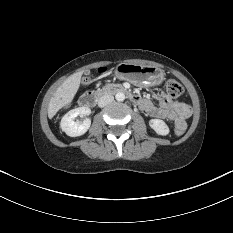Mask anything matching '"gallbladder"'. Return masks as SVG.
I'll return each mask as SVG.
<instances>
[{
    "label": "gallbladder",
    "mask_w": 233,
    "mask_h": 233,
    "mask_svg": "<svg viewBox=\"0 0 233 233\" xmlns=\"http://www.w3.org/2000/svg\"><path fill=\"white\" fill-rule=\"evenodd\" d=\"M84 74H85V75H89L90 72L87 70V71L84 72Z\"/></svg>",
    "instance_id": "obj_1"
}]
</instances>
